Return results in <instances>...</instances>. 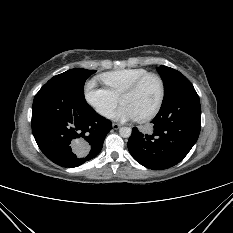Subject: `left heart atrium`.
Returning a JSON list of instances; mask_svg holds the SVG:
<instances>
[{
    "label": "left heart atrium",
    "mask_w": 233,
    "mask_h": 233,
    "mask_svg": "<svg viewBox=\"0 0 233 233\" xmlns=\"http://www.w3.org/2000/svg\"><path fill=\"white\" fill-rule=\"evenodd\" d=\"M111 117L121 121L138 119L134 110L126 104H122L115 112L112 113Z\"/></svg>",
    "instance_id": "1"
}]
</instances>
